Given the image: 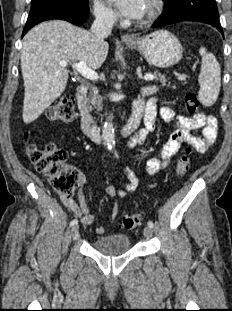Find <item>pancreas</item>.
Returning <instances> with one entry per match:
<instances>
[{
  "instance_id": "obj_1",
  "label": "pancreas",
  "mask_w": 232,
  "mask_h": 311,
  "mask_svg": "<svg viewBox=\"0 0 232 311\" xmlns=\"http://www.w3.org/2000/svg\"><path fill=\"white\" fill-rule=\"evenodd\" d=\"M156 80L160 81L163 86H169L170 83L167 82L166 76L164 74H158ZM174 88V86H172ZM102 97L98 94V89L94 88L91 94L85 99V102L90 109L97 108L98 110L102 109Z\"/></svg>"
}]
</instances>
